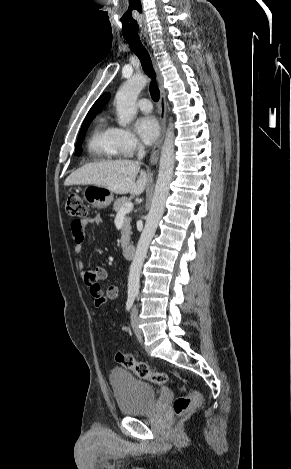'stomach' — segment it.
Returning a JSON list of instances; mask_svg holds the SVG:
<instances>
[{
	"label": "stomach",
	"mask_w": 291,
	"mask_h": 469,
	"mask_svg": "<svg viewBox=\"0 0 291 469\" xmlns=\"http://www.w3.org/2000/svg\"><path fill=\"white\" fill-rule=\"evenodd\" d=\"M84 200L94 208L108 207L113 201V192L107 188L89 185L83 191Z\"/></svg>",
	"instance_id": "stomach-1"
}]
</instances>
